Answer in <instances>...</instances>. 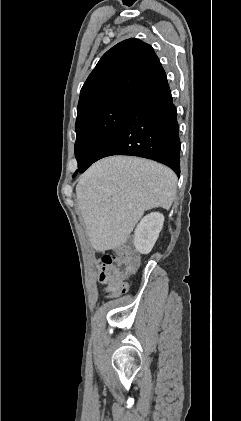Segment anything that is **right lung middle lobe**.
<instances>
[{"mask_svg":"<svg viewBox=\"0 0 241 421\" xmlns=\"http://www.w3.org/2000/svg\"><path fill=\"white\" fill-rule=\"evenodd\" d=\"M130 101L93 110L76 120L75 156L78 170L88 168L120 126Z\"/></svg>","mask_w":241,"mask_h":421,"instance_id":"obj_1","label":"right lung middle lobe"}]
</instances>
